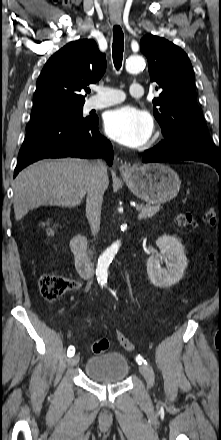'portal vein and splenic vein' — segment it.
Here are the masks:
<instances>
[{"instance_id": "obj_1", "label": "portal vein and splenic vein", "mask_w": 221, "mask_h": 440, "mask_svg": "<svg viewBox=\"0 0 221 440\" xmlns=\"http://www.w3.org/2000/svg\"><path fill=\"white\" fill-rule=\"evenodd\" d=\"M142 218H144V214H143L142 212H140V213L138 214V219H142Z\"/></svg>"}]
</instances>
